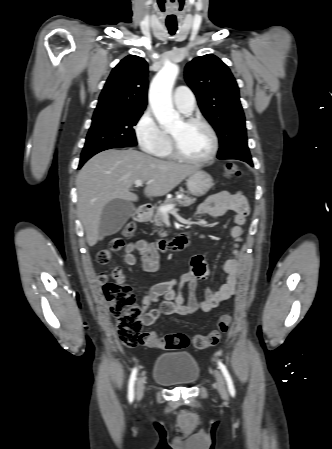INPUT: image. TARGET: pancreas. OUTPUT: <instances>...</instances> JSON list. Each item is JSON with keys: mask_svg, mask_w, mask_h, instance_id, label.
Masks as SVG:
<instances>
[{"mask_svg": "<svg viewBox=\"0 0 332 449\" xmlns=\"http://www.w3.org/2000/svg\"><path fill=\"white\" fill-rule=\"evenodd\" d=\"M195 199L191 198L189 196L183 195L182 198L180 199H175V198H167L164 203L152 214V221L155 223L156 226H163L164 223V215L161 212V207L167 206V205H171L174 203H178L180 206H190L194 203ZM159 236L160 237H166L167 234L166 232H162L159 231Z\"/></svg>", "mask_w": 332, "mask_h": 449, "instance_id": "pancreas-1", "label": "pancreas"}]
</instances>
